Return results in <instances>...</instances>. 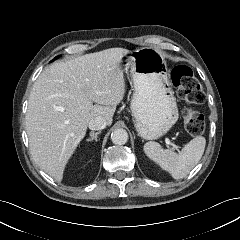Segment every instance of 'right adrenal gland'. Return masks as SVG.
Wrapping results in <instances>:
<instances>
[{
  "label": "right adrenal gland",
  "mask_w": 240,
  "mask_h": 240,
  "mask_svg": "<svg viewBox=\"0 0 240 240\" xmlns=\"http://www.w3.org/2000/svg\"><path fill=\"white\" fill-rule=\"evenodd\" d=\"M101 132L99 131V132H90V136H91V138H89V139H87V141L88 142H90V141H93V140H95V141H97V136H98V134H100Z\"/></svg>",
  "instance_id": "right-adrenal-gland-1"
}]
</instances>
